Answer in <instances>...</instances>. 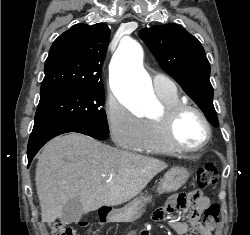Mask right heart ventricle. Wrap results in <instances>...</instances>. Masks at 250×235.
<instances>
[{
    "instance_id": "right-heart-ventricle-1",
    "label": "right heart ventricle",
    "mask_w": 250,
    "mask_h": 235,
    "mask_svg": "<svg viewBox=\"0 0 250 235\" xmlns=\"http://www.w3.org/2000/svg\"><path fill=\"white\" fill-rule=\"evenodd\" d=\"M158 100L164 107H170L180 102L177 92L172 94H158ZM145 135L141 146L137 149L144 153L172 154L176 152L166 141L163 134L162 122L158 118L144 120Z\"/></svg>"
}]
</instances>
